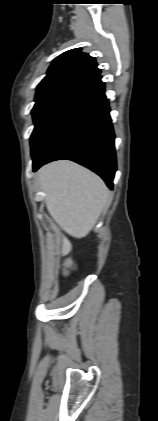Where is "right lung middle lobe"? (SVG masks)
<instances>
[{"label": "right lung middle lobe", "instance_id": "obj_1", "mask_svg": "<svg viewBox=\"0 0 158 421\" xmlns=\"http://www.w3.org/2000/svg\"><path fill=\"white\" fill-rule=\"evenodd\" d=\"M80 88L75 84H60L37 90L35 105L32 109L35 128L31 135V152L36 151L45 133L62 106Z\"/></svg>", "mask_w": 158, "mask_h": 421}]
</instances>
